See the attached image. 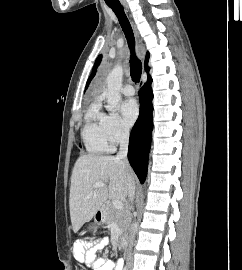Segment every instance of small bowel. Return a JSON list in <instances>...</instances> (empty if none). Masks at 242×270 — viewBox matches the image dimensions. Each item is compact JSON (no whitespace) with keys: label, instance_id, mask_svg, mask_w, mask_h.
Here are the masks:
<instances>
[{"label":"small bowel","instance_id":"obj_1","mask_svg":"<svg viewBox=\"0 0 242 270\" xmlns=\"http://www.w3.org/2000/svg\"><path fill=\"white\" fill-rule=\"evenodd\" d=\"M107 245V239L96 242L79 241L74 245V256L77 260L84 261L86 264L90 265L94 270H113V262L103 257H97V252L104 249Z\"/></svg>","mask_w":242,"mask_h":270}]
</instances>
